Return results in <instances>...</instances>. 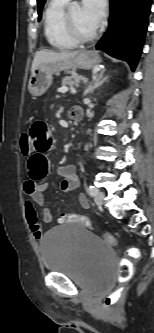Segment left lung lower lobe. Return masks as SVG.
I'll list each match as a JSON object with an SVG mask.
<instances>
[{
	"label": "left lung lower lobe",
	"instance_id": "obj_1",
	"mask_svg": "<svg viewBox=\"0 0 154 333\" xmlns=\"http://www.w3.org/2000/svg\"><path fill=\"white\" fill-rule=\"evenodd\" d=\"M151 0H110L107 32L96 49L127 61L134 70L145 39Z\"/></svg>",
	"mask_w": 154,
	"mask_h": 333
}]
</instances>
